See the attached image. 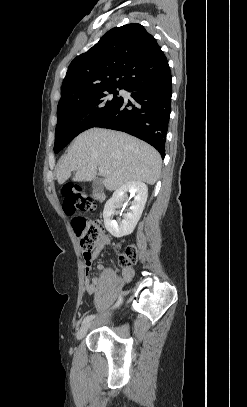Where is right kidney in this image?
<instances>
[{
	"label": "right kidney",
	"mask_w": 247,
	"mask_h": 407,
	"mask_svg": "<svg viewBox=\"0 0 247 407\" xmlns=\"http://www.w3.org/2000/svg\"><path fill=\"white\" fill-rule=\"evenodd\" d=\"M127 192L134 195V200L130 203L129 212L123 215L122 221L117 222L112 217L117 213L116 207L127 200ZM147 197V185L141 181H130L119 187L104 207L103 218L107 231L116 238L131 234L141 218Z\"/></svg>",
	"instance_id": "right-kidney-1"
}]
</instances>
